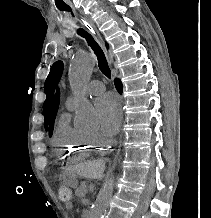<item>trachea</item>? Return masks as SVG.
Here are the masks:
<instances>
[{"label": "trachea", "mask_w": 211, "mask_h": 218, "mask_svg": "<svg viewBox=\"0 0 211 218\" xmlns=\"http://www.w3.org/2000/svg\"><path fill=\"white\" fill-rule=\"evenodd\" d=\"M77 33H78V35L85 38L88 45L94 51L95 55L97 56L98 67H99L100 71L103 73V75H105L108 78H111V70H110L109 65L107 63L106 57H105L102 49L100 48V46L96 42V40L93 38V36L90 35V33H88L86 30H84V28H79L77 30Z\"/></svg>", "instance_id": "trachea-1"}]
</instances>
